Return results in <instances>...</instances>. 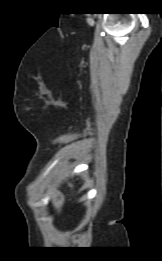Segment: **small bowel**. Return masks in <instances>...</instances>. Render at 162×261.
I'll return each instance as SVG.
<instances>
[{
	"mask_svg": "<svg viewBox=\"0 0 162 261\" xmlns=\"http://www.w3.org/2000/svg\"><path fill=\"white\" fill-rule=\"evenodd\" d=\"M56 201H57V203H59L61 201V198L59 196H57Z\"/></svg>",
	"mask_w": 162,
	"mask_h": 261,
	"instance_id": "1",
	"label": "small bowel"
}]
</instances>
